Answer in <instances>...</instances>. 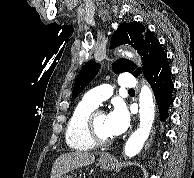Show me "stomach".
<instances>
[{
  "instance_id": "stomach-1",
  "label": "stomach",
  "mask_w": 194,
  "mask_h": 178,
  "mask_svg": "<svg viewBox=\"0 0 194 178\" xmlns=\"http://www.w3.org/2000/svg\"><path fill=\"white\" fill-rule=\"evenodd\" d=\"M116 165V159L111 155H101L99 159V166L102 169H105L107 171H111L115 168ZM60 178H72L69 175H62Z\"/></svg>"
}]
</instances>
